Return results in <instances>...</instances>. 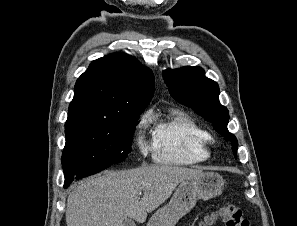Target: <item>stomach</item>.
<instances>
[{"instance_id": "0dacf381", "label": "stomach", "mask_w": 297, "mask_h": 226, "mask_svg": "<svg viewBox=\"0 0 297 226\" xmlns=\"http://www.w3.org/2000/svg\"><path fill=\"white\" fill-rule=\"evenodd\" d=\"M223 178L213 172H204L193 180L182 181L170 202L158 209L147 226H175L178 220L189 213L198 199L208 200L222 193Z\"/></svg>"}]
</instances>
